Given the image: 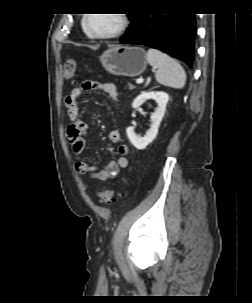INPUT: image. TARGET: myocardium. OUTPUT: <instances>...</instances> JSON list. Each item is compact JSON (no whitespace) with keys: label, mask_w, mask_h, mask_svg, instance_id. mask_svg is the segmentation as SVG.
<instances>
[{"label":"myocardium","mask_w":252,"mask_h":303,"mask_svg":"<svg viewBox=\"0 0 252 303\" xmlns=\"http://www.w3.org/2000/svg\"><path fill=\"white\" fill-rule=\"evenodd\" d=\"M118 17V24L117 26L107 32L104 33H95L91 32L87 26L88 19L90 16H85L82 20V28L84 32L86 33L87 36L93 39H109L116 37L120 35L127 27L128 25V18L126 14L120 13V14H115Z\"/></svg>","instance_id":"myocardium-1"}]
</instances>
